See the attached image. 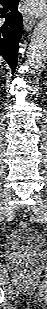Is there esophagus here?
Segmentation results:
<instances>
[{"instance_id":"34e87169","label":"esophagus","mask_w":47,"mask_h":309,"mask_svg":"<svg viewBox=\"0 0 47 309\" xmlns=\"http://www.w3.org/2000/svg\"><path fill=\"white\" fill-rule=\"evenodd\" d=\"M35 19L30 17L29 15L23 16V25L26 31H29L35 25Z\"/></svg>"}]
</instances>
